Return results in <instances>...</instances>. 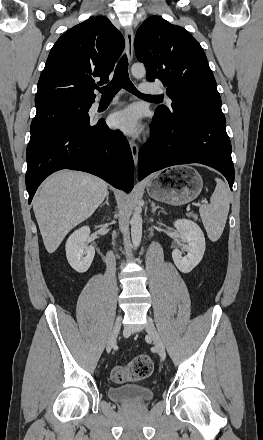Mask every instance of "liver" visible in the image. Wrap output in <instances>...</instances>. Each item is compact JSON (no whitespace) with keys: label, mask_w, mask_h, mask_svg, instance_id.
Returning a JSON list of instances; mask_svg holds the SVG:
<instances>
[{"label":"liver","mask_w":263,"mask_h":440,"mask_svg":"<svg viewBox=\"0 0 263 440\" xmlns=\"http://www.w3.org/2000/svg\"><path fill=\"white\" fill-rule=\"evenodd\" d=\"M108 194V184L93 175L63 170L39 188L33 210L48 253L59 247L68 232L89 218Z\"/></svg>","instance_id":"6515ba94"}]
</instances>
